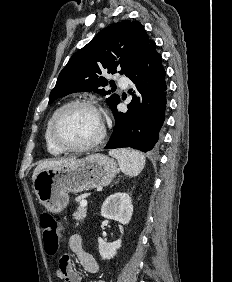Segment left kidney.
Listing matches in <instances>:
<instances>
[{
	"mask_svg": "<svg viewBox=\"0 0 232 282\" xmlns=\"http://www.w3.org/2000/svg\"><path fill=\"white\" fill-rule=\"evenodd\" d=\"M133 213L131 198L127 193L117 192L110 195L102 205L101 215L107 219L119 221L126 225L129 223ZM121 239L112 243H107L103 239H98L99 253L102 259H111L117 254L121 247Z\"/></svg>",
	"mask_w": 232,
	"mask_h": 282,
	"instance_id": "1",
	"label": "left kidney"
}]
</instances>
